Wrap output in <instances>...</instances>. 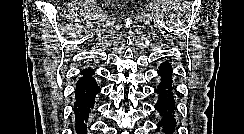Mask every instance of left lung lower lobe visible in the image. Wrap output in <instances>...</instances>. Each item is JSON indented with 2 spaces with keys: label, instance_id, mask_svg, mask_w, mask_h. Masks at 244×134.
Returning a JSON list of instances; mask_svg holds the SVG:
<instances>
[{
  "label": "left lung lower lobe",
  "instance_id": "obj_1",
  "mask_svg": "<svg viewBox=\"0 0 244 134\" xmlns=\"http://www.w3.org/2000/svg\"><path fill=\"white\" fill-rule=\"evenodd\" d=\"M173 87L171 84H162L158 85V89H155V92L159 94V100L155 105V109L159 111L161 116L164 118L157 125L158 128L163 127V130L166 134H171L174 132L176 126V119L174 118V110L176 109L174 104Z\"/></svg>",
  "mask_w": 244,
  "mask_h": 134
}]
</instances>
